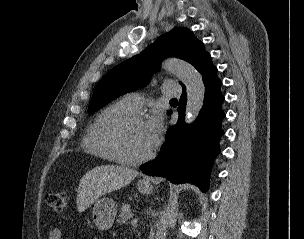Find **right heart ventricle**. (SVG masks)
I'll return each mask as SVG.
<instances>
[{
	"mask_svg": "<svg viewBox=\"0 0 304 239\" xmlns=\"http://www.w3.org/2000/svg\"><path fill=\"white\" fill-rule=\"evenodd\" d=\"M122 100L102 109L87 126L82 145L88 153L108 161H116L109 144V130L124 116L133 114Z\"/></svg>",
	"mask_w": 304,
	"mask_h": 239,
	"instance_id": "right-heart-ventricle-1",
	"label": "right heart ventricle"
}]
</instances>
